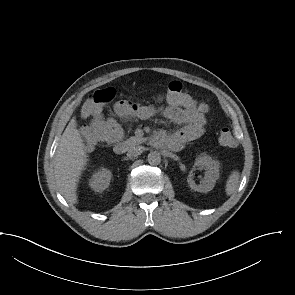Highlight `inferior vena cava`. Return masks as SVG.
Returning <instances> with one entry per match:
<instances>
[{"mask_svg":"<svg viewBox=\"0 0 295 295\" xmlns=\"http://www.w3.org/2000/svg\"><path fill=\"white\" fill-rule=\"evenodd\" d=\"M144 151V147L142 146H134V147H131L129 150H128V153L127 155L129 157H137L139 155H141V153Z\"/></svg>","mask_w":295,"mask_h":295,"instance_id":"602c4592","label":"inferior vena cava"}]
</instances>
